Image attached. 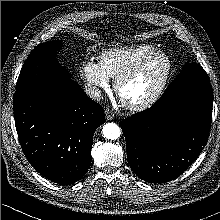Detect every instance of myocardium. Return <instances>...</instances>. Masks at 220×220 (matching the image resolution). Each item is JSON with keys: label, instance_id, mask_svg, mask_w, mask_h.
Segmentation results:
<instances>
[{"label": "myocardium", "instance_id": "f54148a6", "mask_svg": "<svg viewBox=\"0 0 220 220\" xmlns=\"http://www.w3.org/2000/svg\"><path fill=\"white\" fill-rule=\"evenodd\" d=\"M156 56H162L165 58L167 62V68L164 72L162 78L160 79L159 83L156 85V87L153 89V91L146 96L144 99L136 102H127L125 101L121 96V90L123 86L130 81L133 77H135L137 74L141 72V70L144 68L146 63ZM173 61L171 57L162 50H154L145 56H143L137 63H135L132 67H130L128 70H126L124 73H122L120 76L116 78L115 81V91L117 95L123 100L124 104L131 110L135 111H141L145 110L149 107H151L153 104H155L162 94L164 93L168 82L171 78L172 72H173Z\"/></svg>", "mask_w": 220, "mask_h": 220}]
</instances>
